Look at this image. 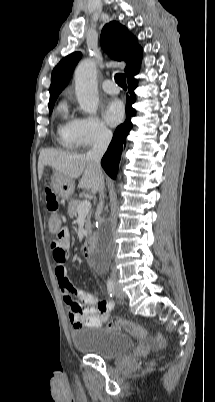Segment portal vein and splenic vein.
Here are the masks:
<instances>
[{
    "label": "portal vein and splenic vein",
    "mask_w": 215,
    "mask_h": 402,
    "mask_svg": "<svg viewBox=\"0 0 215 402\" xmlns=\"http://www.w3.org/2000/svg\"><path fill=\"white\" fill-rule=\"evenodd\" d=\"M91 209V203L88 200H84L80 203V205L77 208V213L78 216H85L89 213Z\"/></svg>",
    "instance_id": "18ae733b"
}]
</instances>
